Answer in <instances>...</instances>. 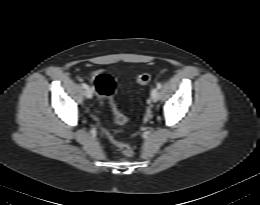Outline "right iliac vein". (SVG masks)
Here are the masks:
<instances>
[{"mask_svg":"<svg viewBox=\"0 0 260 205\" xmlns=\"http://www.w3.org/2000/svg\"><path fill=\"white\" fill-rule=\"evenodd\" d=\"M85 96H86V98H89V99L92 98V96H93V91H92V89H91L90 87H87V88H86V90H85Z\"/></svg>","mask_w":260,"mask_h":205,"instance_id":"right-iliac-vein-1","label":"right iliac vein"}]
</instances>
